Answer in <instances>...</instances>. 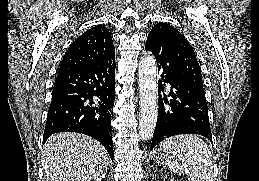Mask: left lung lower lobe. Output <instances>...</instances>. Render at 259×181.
Returning <instances> with one entry per match:
<instances>
[{
    "label": "left lung lower lobe",
    "instance_id": "obj_1",
    "mask_svg": "<svg viewBox=\"0 0 259 181\" xmlns=\"http://www.w3.org/2000/svg\"><path fill=\"white\" fill-rule=\"evenodd\" d=\"M145 50L154 54L158 73H161L158 82V120L150 151L165 138L179 134H199L212 141L205 93L199 92L180 77L171 50H157L150 46H145ZM166 83L171 85L170 100L162 98L160 94L164 92Z\"/></svg>",
    "mask_w": 259,
    "mask_h": 181
}]
</instances>
